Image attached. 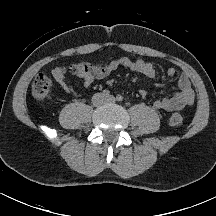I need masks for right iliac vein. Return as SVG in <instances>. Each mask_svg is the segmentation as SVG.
<instances>
[{"mask_svg": "<svg viewBox=\"0 0 216 216\" xmlns=\"http://www.w3.org/2000/svg\"><path fill=\"white\" fill-rule=\"evenodd\" d=\"M105 102V99L104 97L102 96V94H96L93 98V103L96 105V106H100L102 105L103 103Z\"/></svg>", "mask_w": 216, "mask_h": 216, "instance_id": "1", "label": "right iliac vein"}]
</instances>
